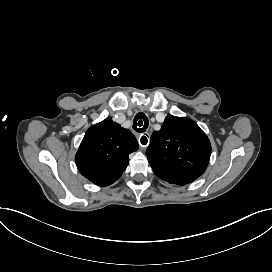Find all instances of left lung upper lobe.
Returning a JSON list of instances; mask_svg holds the SVG:
<instances>
[{
    "instance_id": "left-lung-upper-lobe-1",
    "label": "left lung upper lobe",
    "mask_w": 272,
    "mask_h": 272,
    "mask_svg": "<svg viewBox=\"0 0 272 272\" xmlns=\"http://www.w3.org/2000/svg\"><path fill=\"white\" fill-rule=\"evenodd\" d=\"M146 155L160 179L170 184L185 185L206 170L211 144L194 121L167 116L162 128L152 134Z\"/></svg>"
}]
</instances>
